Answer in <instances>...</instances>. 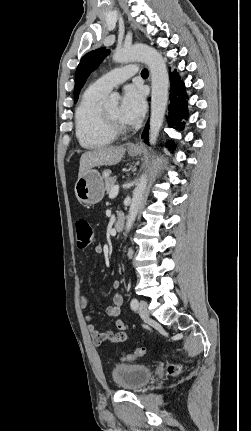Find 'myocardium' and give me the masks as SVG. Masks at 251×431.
Listing matches in <instances>:
<instances>
[{
	"label": "myocardium",
	"mask_w": 251,
	"mask_h": 431,
	"mask_svg": "<svg viewBox=\"0 0 251 431\" xmlns=\"http://www.w3.org/2000/svg\"><path fill=\"white\" fill-rule=\"evenodd\" d=\"M102 117H103V121L105 126L107 127V129L116 135H121V134H125L126 132H128L129 127L126 124H123L117 120H115L114 118H112L105 109H102Z\"/></svg>",
	"instance_id": "f54148a6"
}]
</instances>
